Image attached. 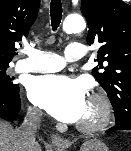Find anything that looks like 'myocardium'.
<instances>
[{
    "instance_id": "obj_1",
    "label": "myocardium",
    "mask_w": 131,
    "mask_h": 151,
    "mask_svg": "<svg viewBox=\"0 0 131 151\" xmlns=\"http://www.w3.org/2000/svg\"><path fill=\"white\" fill-rule=\"evenodd\" d=\"M89 101L97 107L98 115L92 121H79L78 130L84 133H95L104 130L112 119V105L110 100L102 93H93Z\"/></svg>"
}]
</instances>
